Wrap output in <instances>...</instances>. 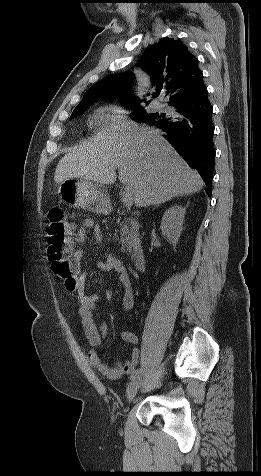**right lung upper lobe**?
Listing matches in <instances>:
<instances>
[{
  "label": "right lung upper lobe",
  "instance_id": "cb5924a9",
  "mask_svg": "<svg viewBox=\"0 0 261 476\" xmlns=\"http://www.w3.org/2000/svg\"><path fill=\"white\" fill-rule=\"evenodd\" d=\"M137 64L150 75L152 84L157 88L154 95L162 89L167 90L170 105L189 98L204 85L197 58L182 41L174 38H162L146 51ZM132 78L130 72L105 77L86 91L77 107L91 105L97 99L110 95L129 108L137 107L138 101L130 88Z\"/></svg>",
  "mask_w": 261,
  "mask_h": 476
}]
</instances>
